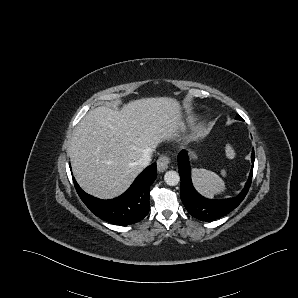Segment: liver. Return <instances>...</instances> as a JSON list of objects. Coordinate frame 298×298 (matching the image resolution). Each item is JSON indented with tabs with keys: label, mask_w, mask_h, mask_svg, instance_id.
Segmentation results:
<instances>
[{
	"label": "liver",
	"mask_w": 298,
	"mask_h": 298,
	"mask_svg": "<svg viewBox=\"0 0 298 298\" xmlns=\"http://www.w3.org/2000/svg\"><path fill=\"white\" fill-rule=\"evenodd\" d=\"M180 102L173 97L130 101L121 110L99 106L74 130L69 147L74 177L95 197L123 193L142 172L138 165L147 150L185 132Z\"/></svg>",
	"instance_id": "1"
}]
</instances>
